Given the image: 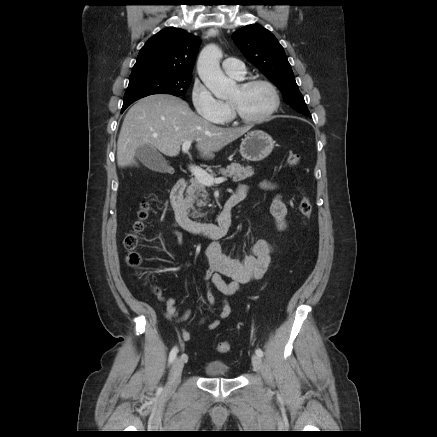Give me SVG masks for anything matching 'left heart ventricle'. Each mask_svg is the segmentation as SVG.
Here are the masks:
<instances>
[{"label":"left heart ventricle","mask_w":437,"mask_h":437,"mask_svg":"<svg viewBox=\"0 0 437 437\" xmlns=\"http://www.w3.org/2000/svg\"><path fill=\"white\" fill-rule=\"evenodd\" d=\"M240 112L247 117H258L266 113L273 103V96L268 87L256 85L248 89L236 87L229 97Z\"/></svg>","instance_id":"b2bd125f"}]
</instances>
